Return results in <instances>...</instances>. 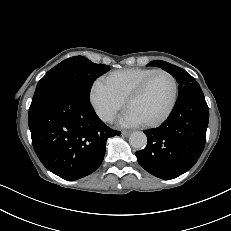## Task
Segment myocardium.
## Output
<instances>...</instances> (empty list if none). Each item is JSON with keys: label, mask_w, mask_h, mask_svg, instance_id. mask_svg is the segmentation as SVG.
Segmentation results:
<instances>
[{"label": "myocardium", "mask_w": 231, "mask_h": 231, "mask_svg": "<svg viewBox=\"0 0 231 231\" xmlns=\"http://www.w3.org/2000/svg\"><path fill=\"white\" fill-rule=\"evenodd\" d=\"M158 73H163L170 77L173 83V97L171 100V103L167 109V111L158 119L153 120V121H148V122H142L143 126L145 127H157L163 124L168 118L172 115L177 101H178V95H179V86H178V81L176 77L169 71L164 70V69H155L153 70L149 75H147L135 88L134 90L128 95V97L125 100V106L128 109L129 105L137 99L144 91L146 88L147 84L151 80V78L158 74Z\"/></svg>", "instance_id": "1"}]
</instances>
